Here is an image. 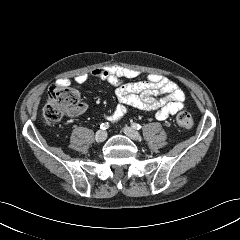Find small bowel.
I'll list each match as a JSON object with an SVG mask.
<instances>
[{
  "mask_svg": "<svg viewBox=\"0 0 240 240\" xmlns=\"http://www.w3.org/2000/svg\"><path fill=\"white\" fill-rule=\"evenodd\" d=\"M138 75L139 72L134 69L103 66L93 69L89 74L78 75L74 81L81 85L93 77L115 87L119 104L107 115L111 122L121 120L128 113L129 108L155 111L157 119L165 120L184 107L185 94L177 83L159 74H151L144 81L125 82ZM58 83L68 86L71 80L61 78Z\"/></svg>",
  "mask_w": 240,
  "mask_h": 240,
  "instance_id": "1",
  "label": "small bowel"
}]
</instances>
